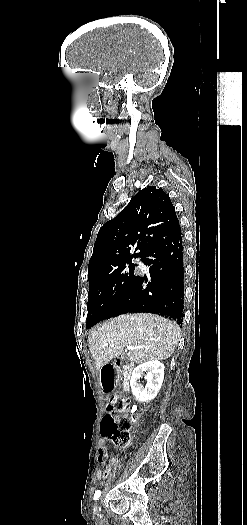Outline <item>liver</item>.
Masks as SVG:
<instances>
[{
	"label": "liver",
	"mask_w": 247,
	"mask_h": 525,
	"mask_svg": "<svg viewBox=\"0 0 247 525\" xmlns=\"http://www.w3.org/2000/svg\"><path fill=\"white\" fill-rule=\"evenodd\" d=\"M181 329L175 321L152 313H133L109 319L92 329L88 345L97 371L112 359H121L124 347H140L126 353L133 363L165 361L179 341Z\"/></svg>",
	"instance_id": "6515ba94"
}]
</instances>
